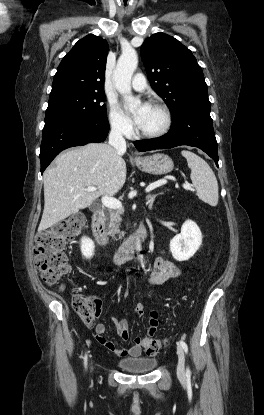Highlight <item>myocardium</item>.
I'll return each mask as SVG.
<instances>
[{
  "instance_id": "obj_1",
  "label": "myocardium",
  "mask_w": 264,
  "mask_h": 415,
  "mask_svg": "<svg viewBox=\"0 0 264 415\" xmlns=\"http://www.w3.org/2000/svg\"><path fill=\"white\" fill-rule=\"evenodd\" d=\"M151 106L156 107L158 109L161 110V112L163 113V117H164V122L163 125L160 129H158L155 132H141L139 129H137L136 131V135L138 137L141 138H148V139H155V138H159L161 136H163L164 134H166L171 125H172V114L170 109L168 108V106L160 101H153L151 103Z\"/></svg>"
}]
</instances>
